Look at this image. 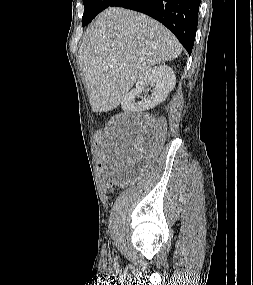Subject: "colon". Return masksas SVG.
<instances>
[{
    "mask_svg": "<svg viewBox=\"0 0 253 285\" xmlns=\"http://www.w3.org/2000/svg\"><path fill=\"white\" fill-rule=\"evenodd\" d=\"M96 140L94 141L95 145H98V150H95L93 157L96 158L95 162L97 167L94 168L95 172H100V180H104V186L107 190L111 189V181L114 176L110 175V171H106L108 167L109 159L106 158L109 153L108 147L109 144L105 143L104 132L101 129L95 130Z\"/></svg>",
    "mask_w": 253,
    "mask_h": 285,
    "instance_id": "5ec220e1",
    "label": "colon"
}]
</instances>
